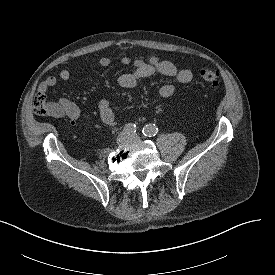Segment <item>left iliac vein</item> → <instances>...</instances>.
<instances>
[{
  "label": "left iliac vein",
  "instance_id": "4c4485c4",
  "mask_svg": "<svg viewBox=\"0 0 275 275\" xmlns=\"http://www.w3.org/2000/svg\"><path fill=\"white\" fill-rule=\"evenodd\" d=\"M132 141H140V137L138 135H133L131 138Z\"/></svg>",
  "mask_w": 275,
  "mask_h": 275
}]
</instances>
